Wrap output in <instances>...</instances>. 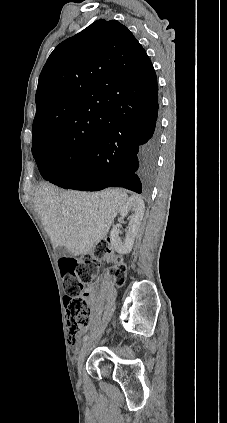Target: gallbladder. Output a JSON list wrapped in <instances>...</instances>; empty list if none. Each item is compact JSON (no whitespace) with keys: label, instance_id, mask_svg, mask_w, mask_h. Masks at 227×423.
Here are the masks:
<instances>
[{"label":"gallbladder","instance_id":"bac80fb5","mask_svg":"<svg viewBox=\"0 0 227 423\" xmlns=\"http://www.w3.org/2000/svg\"><path fill=\"white\" fill-rule=\"evenodd\" d=\"M57 255H60V257H65V255H69L68 249L66 247H56L55 249Z\"/></svg>","mask_w":227,"mask_h":423}]
</instances>
